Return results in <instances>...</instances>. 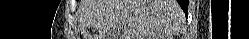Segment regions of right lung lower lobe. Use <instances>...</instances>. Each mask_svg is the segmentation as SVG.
<instances>
[{
	"label": "right lung lower lobe",
	"instance_id": "1",
	"mask_svg": "<svg viewBox=\"0 0 249 39\" xmlns=\"http://www.w3.org/2000/svg\"><path fill=\"white\" fill-rule=\"evenodd\" d=\"M180 7L183 9L185 15H188L189 0H178Z\"/></svg>",
	"mask_w": 249,
	"mask_h": 39
}]
</instances>
